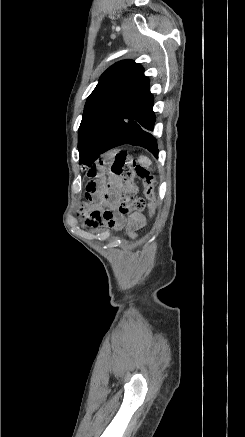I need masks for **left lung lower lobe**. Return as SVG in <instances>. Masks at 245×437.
Returning <instances> with one entry per match:
<instances>
[{"label":"left lung lower lobe","mask_w":245,"mask_h":437,"mask_svg":"<svg viewBox=\"0 0 245 437\" xmlns=\"http://www.w3.org/2000/svg\"><path fill=\"white\" fill-rule=\"evenodd\" d=\"M153 101L148 79L111 128L100 154L116 146L131 144L147 148L157 157V143L150 133L155 122Z\"/></svg>","instance_id":"left-lung-lower-lobe-1"}]
</instances>
